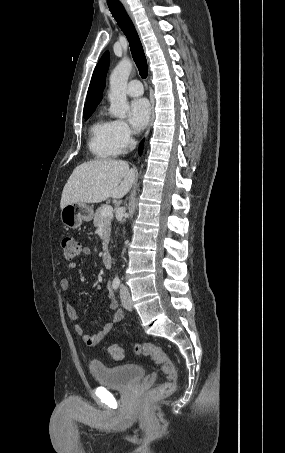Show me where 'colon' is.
Masks as SVG:
<instances>
[{
  "mask_svg": "<svg viewBox=\"0 0 285 453\" xmlns=\"http://www.w3.org/2000/svg\"><path fill=\"white\" fill-rule=\"evenodd\" d=\"M62 248L66 260L75 259L81 252L80 243L73 237L62 239ZM134 351L138 355L148 356L161 366L162 371L168 376V380L161 383L149 392L152 398H165L171 395L176 388L177 370L167 353L158 345L151 342H138L134 345ZM110 355L117 361L124 357V350L117 344L109 345Z\"/></svg>",
  "mask_w": 285,
  "mask_h": 453,
  "instance_id": "1",
  "label": "colon"
}]
</instances>
